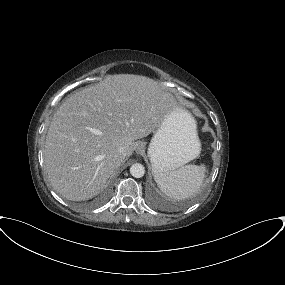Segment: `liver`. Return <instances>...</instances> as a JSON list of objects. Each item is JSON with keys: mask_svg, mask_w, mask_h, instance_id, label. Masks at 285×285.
Listing matches in <instances>:
<instances>
[{"mask_svg": "<svg viewBox=\"0 0 285 285\" xmlns=\"http://www.w3.org/2000/svg\"><path fill=\"white\" fill-rule=\"evenodd\" d=\"M178 110L170 93L139 75H108L74 93L55 112L46 136L44 163L52 187L72 201L97 195L132 154L134 141ZM120 147L126 148L124 158Z\"/></svg>", "mask_w": 285, "mask_h": 285, "instance_id": "1", "label": "liver"}]
</instances>
